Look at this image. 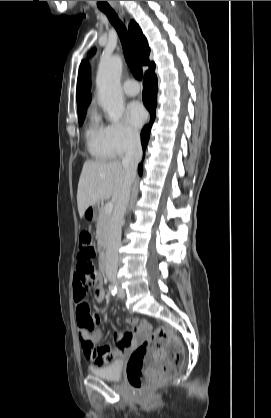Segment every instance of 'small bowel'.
<instances>
[{"instance_id":"c3829d8e","label":"small bowel","mask_w":271,"mask_h":418,"mask_svg":"<svg viewBox=\"0 0 271 418\" xmlns=\"http://www.w3.org/2000/svg\"><path fill=\"white\" fill-rule=\"evenodd\" d=\"M95 286V301L101 304L105 299V292L102 288V280L99 271L94 269L90 262H77L76 273L73 277V313L78 314L79 338L85 357L95 366H103L112 360L123 356L137 343V337L141 335L145 323L136 318H127L126 323L134 327L133 332H116L113 335L117 342L116 347L110 345L97 346L101 339V332L95 330L99 327V320L95 319L92 301L85 299L88 285Z\"/></svg>"}]
</instances>
